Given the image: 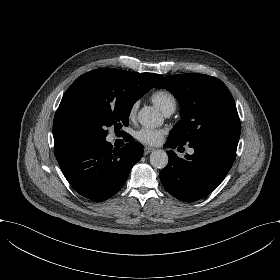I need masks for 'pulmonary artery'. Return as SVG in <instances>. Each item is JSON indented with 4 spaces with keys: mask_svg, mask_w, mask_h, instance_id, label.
<instances>
[{
    "mask_svg": "<svg viewBox=\"0 0 280 280\" xmlns=\"http://www.w3.org/2000/svg\"><path fill=\"white\" fill-rule=\"evenodd\" d=\"M169 114H171V113H167V115H169ZM187 153L191 155L194 153V150L192 148H188Z\"/></svg>",
    "mask_w": 280,
    "mask_h": 280,
    "instance_id": "e3ab8cb5",
    "label": "pulmonary artery"
}]
</instances>
